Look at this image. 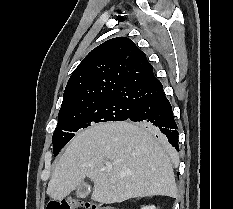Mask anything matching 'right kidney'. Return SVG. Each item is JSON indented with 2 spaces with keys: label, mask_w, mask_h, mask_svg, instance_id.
Instances as JSON below:
<instances>
[{
  "label": "right kidney",
  "mask_w": 233,
  "mask_h": 209,
  "mask_svg": "<svg viewBox=\"0 0 233 209\" xmlns=\"http://www.w3.org/2000/svg\"><path fill=\"white\" fill-rule=\"evenodd\" d=\"M141 209H156V207L151 205V206L142 207Z\"/></svg>",
  "instance_id": "right-kidney-1"
}]
</instances>
